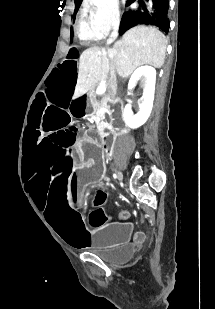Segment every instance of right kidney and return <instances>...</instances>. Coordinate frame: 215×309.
Segmentation results:
<instances>
[{
  "mask_svg": "<svg viewBox=\"0 0 215 309\" xmlns=\"http://www.w3.org/2000/svg\"><path fill=\"white\" fill-rule=\"evenodd\" d=\"M141 76H145L147 80H145V88L142 96L144 100L142 104H139V112L134 114L131 108L132 100H129V104H126L123 110V118L130 128H138V126L144 124L147 118H149L153 106L156 82V70L153 66H147L146 64V66H139V68H136L133 74H131V78L128 82V88H133Z\"/></svg>",
  "mask_w": 215,
  "mask_h": 309,
  "instance_id": "ca27d5eb",
  "label": "right kidney"
}]
</instances>
